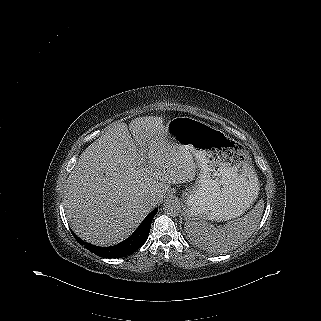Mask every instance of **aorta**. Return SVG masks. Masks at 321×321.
Masks as SVG:
<instances>
[{"instance_id": "762f6f07", "label": "aorta", "mask_w": 321, "mask_h": 321, "mask_svg": "<svg viewBox=\"0 0 321 321\" xmlns=\"http://www.w3.org/2000/svg\"><path fill=\"white\" fill-rule=\"evenodd\" d=\"M182 207L177 199L169 198L163 204V211L165 214L175 217L181 213Z\"/></svg>"}]
</instances>
